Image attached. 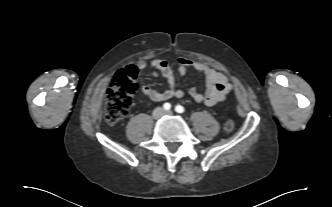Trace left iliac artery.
I'll return each instance as SVG.
<instances>
[{
  "label": "left iliac artery",
  "mask_w": 332,
  "mask_h": 207,
  "mask_svg": "<svg viewBox=\"0 0 332 207\" xmlns=\"http://www.w3.org/2000/svg\"><path fill=\"white\" fill-rule=\"evenodd\" d=\"M175 111H176L177 113H184L185 109H184L183 106H181V105H177V106L175 107Z\"/></svg>",
  "instance_id": "obj_1"
}]
</instances>
